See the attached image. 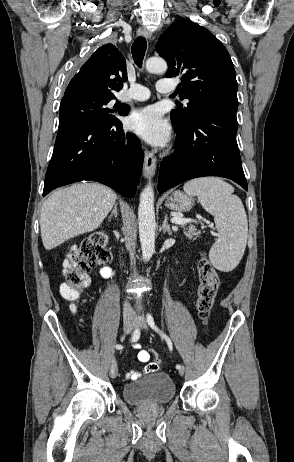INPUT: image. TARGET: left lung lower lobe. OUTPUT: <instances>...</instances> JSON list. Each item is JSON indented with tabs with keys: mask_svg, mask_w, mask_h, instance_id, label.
Wrapping results in <instances>:
<instances>
[{
	"mask_svg": "<svg viewBox=\"0 0 294 462\" xmlns=\"http://www.w3.org/2000/svg\"><path fill=\"white\" fill-rule=\"evenodd\" d=\"M237 106L213 105L195 117L185 128L173 124L177 133L176 149L161 164L159 192L185 180L203 176L225 177L247 190L235 138L238 128Z\"/></svg>",
	"mask_w": 294,
	"mask_h": 462,
	"instance_id": "obj_1",
	"label": "left lung lower lobe"
}]
</instances>
